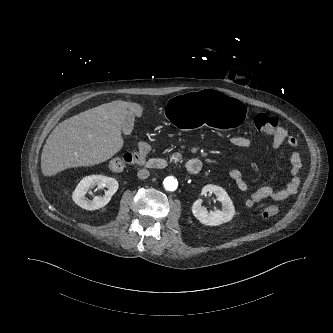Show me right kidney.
Listing matches in <instances>:
<instances>
[{
  "instance_id": "obj_1",
  "label": "right kidney",
  "mask_w": 333,
  "mask_h": 333,
  "mask_svg": "<svg viewBox=\"0 0 333 333\" xmlns=\"http://www.w3.org/2000/svg\"><path fill=\"white\" fill-rule=\"evenodd\" d=\"M97 186L99 189L107 188L105 195L102 197L96 196L92 201L85 198L89 189ZM118 190V182L116 179L106 177L103 175H90L84 177L76 186L72 199L83 209L96 210L104 207L111 199V197Z\"/></svg>"
}]
</instances>
